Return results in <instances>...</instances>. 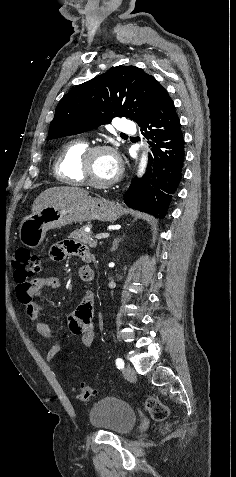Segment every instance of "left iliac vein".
<instances>
[{"label":"left iliac vein","instance_id":"left-iliac-vein-1","mask_svg":"<svg viewBox=\"0 0 236 477\" xmlns=\"http://www.w3.org/2000/svg\"><path fill=\"white\" fill-rule=\"evenodd\" d=\"M123 374L129 380H132L135 377V371L130 365L124 367Z\"/></svg>","mask_w":236,"mask_h":477}]
</instances>
